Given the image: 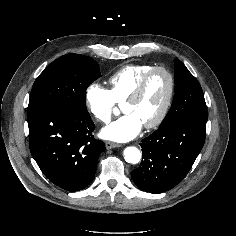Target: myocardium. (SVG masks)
<instances>
[{
    "instance_id": "f54148a6",
    "label": "myocardium",
    "mask_w": 236,
    "mask_h": 236,
    "mask_svg": "<svg viewBox=\"0 0 236 236\" xmlns=\"http://www.w3.org/2000/svg\"><path fill=\"white\" fill-rule=\"evenodd\" d=\"M156 72H162L166 75V77L168 79V92H167L163 107H162L161 111L159 112L158 116L153 121L144 124V127L147 129H152V128L159 126L163 122V120L165 119V117L170 109V106L172 104V100L174 97V92H175V79H174V76L171 73V71L167 67H164V66L152 67L150 70H148L142 76V78L138 82L135 89L124 101L125 103H127V102H134V101L138 100L141 97V95L143 94L144 89H145L149 79Z\"/></svg>"
}]
</instances>
